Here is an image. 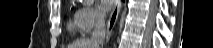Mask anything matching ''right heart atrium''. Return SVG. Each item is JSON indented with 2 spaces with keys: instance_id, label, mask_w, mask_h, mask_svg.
Masks as SVG:
<instances>
[{
  "instance_id": "right-heart-atrium-1",
  "label": "right heart atrium",
  "mask_w": 213,
  "mask_h": 48,
  "mask_svg": "<svg viewBox=\"0 0 213 48\" xmlns=\"http://www.w3.org/2000/svg\"><path fill=\"white\" fill-rule=\"evenodd\" d=\"M78 30L83 34L90 33L103 21V14L93 5L86 4L76 12Z\"/></svg>"
}]
</instances>
